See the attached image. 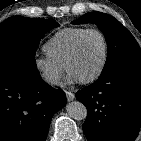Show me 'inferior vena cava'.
Listing matches in <instances>:
<instances>
[{
	"label": "inferior vena cava",
	"mask_w": 141,
	"mask_h": 141,
	"mask_svg": "<svg viewBox=\"0 0 141 141\" xmlns=\"http://www.w3.org/2000/svg\"><path fill=\"white\" fill-rule=\"evenodd\" d=\"M46 81H48V82H54V81H55V79H53V78H49V77H46Z\"/></svg>",
	"instance_id": "1"
}]
</instances>
